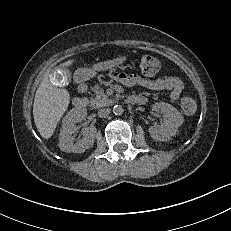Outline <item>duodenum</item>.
I'll return each instance as SVG.
<instances>
[{
  "instance_id": "1",
  "label": "duodenum",
  "mask_w": 231,
  "mask_h": 231,
  "mask_svg": "<svg viewBox=\"0 0 231 231\" xmlns=\"http://www.w3.org/2000/svg\"><path fill=\"white\" fill-rule=\"evenodd\" d=\"M79 95L74 97L73 105L76 108H85L88 105V100L84 96V93L87 91V84L85 82H79L78 85ZM129 102L136 103V104H144L146 99L142 96H133L129 98Z\"/></svg>"
}]
</instances>
